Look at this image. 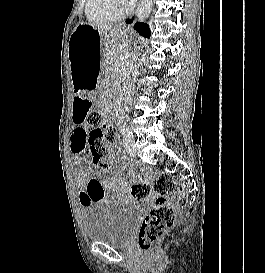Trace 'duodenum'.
I'll return each mask as SVG.
<instances>
[{
  "label": "duodenum",
  "instance_id": "410a0bca",
  "mask_svg": "<svg viewBox=\"0 0 265 273\" xmlns=\"http://www.w3.org/2000/svg\"><path fill=\"white\" fill-rule=\"evenodd\" d=\"M118 117L122 118V112L121 111H119Z\"/></svg>",
  "mask_w": 265,
  "mask_h": 273
}]
</instances>
